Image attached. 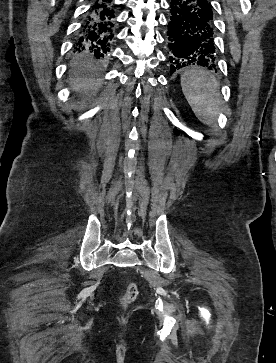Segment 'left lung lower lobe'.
Listing matches in <instances>:
<instances>
[{"label": "left lung lower lobe", "mask_w": 276, "mask_h": 363, "mask_svg": "<svg viewBox=\"0 0 276 363\" xmlns=\"http://www.w3.org/2000/svg\"><path fill=\"white\" fill-rule=\"evenodd\" d=\"M170 14L167 32L170 73L192 65L216 70L215 26L210 2L170 0Z\"/></svg>", "instance_id": "left-lung-lower-lobe-1"}]
</instances>
